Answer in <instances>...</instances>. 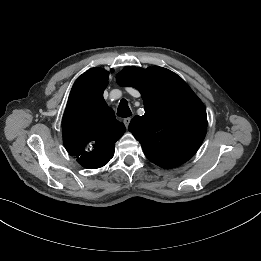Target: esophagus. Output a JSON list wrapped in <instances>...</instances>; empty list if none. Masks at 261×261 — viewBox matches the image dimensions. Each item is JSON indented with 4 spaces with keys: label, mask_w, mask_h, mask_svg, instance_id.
Masks as SVG:
<instances>
[{
    "label": "esophagus",
    "mask_w": 261,
    "mask_h": 261,
    "mask_svg": "<svg viewBox=\"0 0 261 261\" xmlns=\"http://www.w3.org/2000/svg\"><path fill=\"white\" fill-rule=\"evenodd\" d=\"M131 122V117H127L123 120V123L125 125L126 128H128L129 124Z\"/></svg>",
    "instance_id": "esophagus-1"
}]
</instances>
